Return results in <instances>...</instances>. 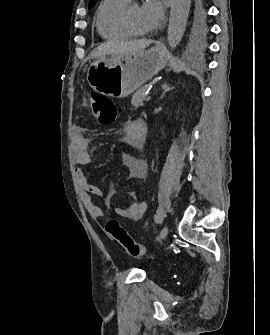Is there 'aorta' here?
<instances>
[{"label": "aorta", "instance_id": "1", "mask_svg": "<svg viewBox=\"0 0 270 335\" xmlns=\"http://www.w3.org/2000/svg\"><path fill=\"white\" fill-rule=\"evenodd\" d=\"M191 0H173L168 28V42L171 48H176L185 32Z\"/></svg>", "mask_w": 270, "mask_h": 335}]
</instances>
